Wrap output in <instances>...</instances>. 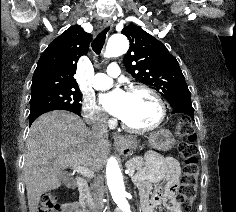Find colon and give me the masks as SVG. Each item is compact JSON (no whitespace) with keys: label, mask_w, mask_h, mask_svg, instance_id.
Here are the masks:
<instances>
[{"label":"colon","mask_w":236,"mask_h":212,"mask_svg":"<svg viewBox=\"0 0 236 212\" xmlns=\"http://www.w3.org/2000/svg\"><path fill=\"white\" fill-rule=\"evenodd\" d=\"M176 135L182 139L178 149L184 160L183 176L178 190V201L181 204L182 212H190L198 195L199 164L195 154L196 147L194 143L196 136L189 118L182 117L179 120ZM59 210L60 204L54 194L45 193L42 195L37 212H59Z\"/></svg>","instance_id":"5ec220e1"}]
</instances>
